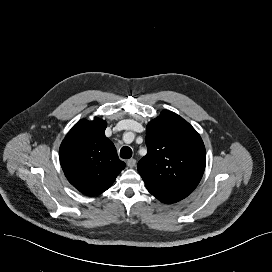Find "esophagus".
<instances>
[{"label":"esophagus","mask_w":272,"mask_h":272,"mask_svg":"<svg viewBox=\"0 0 272 272\" xmlns=\"http://www.w3.org/2000/svg\"><path fill=\"white\" fill-rule=\"evenodd\" d=\"M135 165H136V160H135V159H129V160L127 161V166H128L129 168H133V167H135Z\"/></svg>","instance_id":"1"}]
</instances>
